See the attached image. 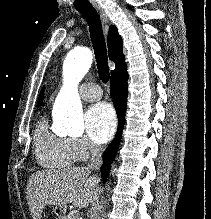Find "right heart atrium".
Listing matches in <instances>:
<instances>
[{
  "mask_svg": "<svg viewBox=\"0 0 211 219\" xmlns=\"http://www.w3.org/2000/svg\"><path fill=\"white\" fill-rule=\"evenodd\" d=\"M66 141L76 161H85L97 152V148L85 138H67Z\"/></svg>",
  "mask_w": 211,
  "mask_h": 219,
  "instance_id": "right-heart-atrium-1",
  "label": "right heart atrium"
}]
</instances>
